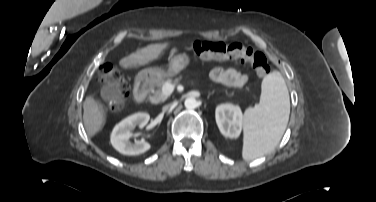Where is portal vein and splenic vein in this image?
Returning <instances> with one entry per match:
<instances>
[{"instance_id":"18ae733b","label":"portal vein and splenic vein","mask_w":376,"mask_h":202,"mask_svg":"<svg viewBox=\"0 0 376 202\" xmlns=\"http://www.w3.org/2000/svg\"><path fill=\"white\" fill-rule=\"evenodd\" d=\"M174 87L175 85L174 84H171V83H165L164 86L162 87V93L165 95V96H169L173 90H174Z\"/></svg>"}]
</instances>
